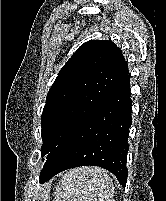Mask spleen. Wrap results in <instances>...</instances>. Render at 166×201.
Returning <instances> with one entry per match:
<instances>
[{
  "label": "spleen",
  "mask_w": 166,
  "mask_h": 201,
  "mask_svg": "<svg viewBox=\"0 0 166 201\" xmlns=\"http://www.w3.org/2000/svg\"><path fill=\"white\" fill-rule=\"evenodd\" d=\"M113 196L112 180L103 169L82 167L64 174L54 201H113Z\"/></svg>",
  "instance_id": "spleen-1"
}]
</instances>
